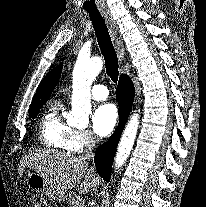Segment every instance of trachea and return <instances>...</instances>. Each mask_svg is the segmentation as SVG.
<instances>
[{"instance_id":"3493384b","label":"trachea","mask_w":206,"mask_h":207,"mask_svg":"<svg viewBox=\"0 0 206 207\" xmlns=\"http://www.w3.org/2000/svg\"><path fill=\"white\" fill-rule=\"evenodd\" d=\"M92 21L93 28L105 60L106 73L114 83H117L119 76V64L116 51L106 23L98 11H87Z\"/></svg>"}]
</instances>
